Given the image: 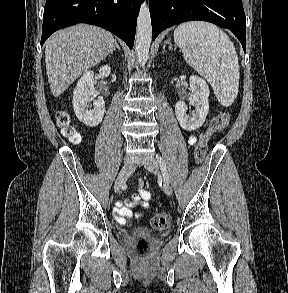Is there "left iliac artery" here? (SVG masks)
<instances>
[{
    "label": "left iliac artery",
    "instance_id": "44dca946",
    "mask_svg": "<svg viewBox=\"0 0 288 293\" xmlns=\"http://www.w3.org/2000/svg\"><path fill=\"white\" fill-rule=\"evenodd\" d=\"M156 158H157V160H158V162H159V165H160V167H161V170H162V174H163L164 180H165L166 182H168V181H169V176H168V173H167V170H166V165H165V163H164V161H163V159H162L161 157L156 156Z\"/></svg>",
    "mask_w": 288,
    "mask_h": 293
}]
</instances>
